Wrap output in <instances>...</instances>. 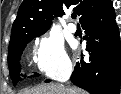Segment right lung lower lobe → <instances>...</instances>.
Returning <instances> with one entry per match:
<instances>
[{
  "mask_svg": "<svg viewBox=\"0 0 121 94\" xmlns=\"http://www.w3.org/2000/svg\"><path fill=\"white\" fill-rule=\"evenodd\" d=\"M81 24L90 57L88 61L81 58L76 64L71 81L92 94H119L121 43L112 1L84 18Z\"/></svg>",
  "mask_w": 121,
  "mask_h": 94,
  "instance_id": "obj_1",
  "label": "right lung lower lobe"
}]
</instances>
